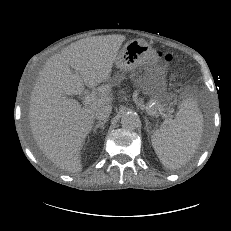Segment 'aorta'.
Here are the masks:
<instances>
[{
	"mask_svg": "<svg viewBox=\"0 0 231 231\" xmlns=\"http://www.w3.org/2000/svg\"><path fill=\"white\" fill-rule=\"evenodd\" d=\"M139 123L140 119L135 113H126L121 118V124L126 129H136Z\"/></svg>",
	"mask_w": 231,
	"mask_h": 231,
	"instance_id": "762f6f07",
	"label": "aorta"
}]
</instances>
